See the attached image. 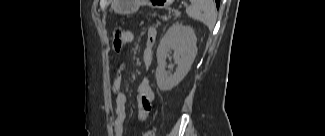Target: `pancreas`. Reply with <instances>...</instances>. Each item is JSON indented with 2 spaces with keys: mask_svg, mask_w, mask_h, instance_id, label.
Segmentation results:
<instances>
[{
  "mask_svg": "<svg viewBox=\"0 0 325 136\" xmlns=\"http://www.w3.org/2000/svg\"><path fill=\"white\" fill-rule=\"evenodd\" d=\"M156 18L158 24H166L168 22V19H174L175 16H170L169 12H157Z\"/></svg>",
  "mask_w": 325,
  "mask_h": 136,
  "instance_id": "cf45deb5",
  "label": "pancreas"
}]
</instances>
